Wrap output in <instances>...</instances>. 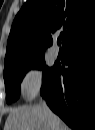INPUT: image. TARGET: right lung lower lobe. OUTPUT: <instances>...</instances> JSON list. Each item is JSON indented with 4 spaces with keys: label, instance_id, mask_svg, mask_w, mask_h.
I'll list each match as a JSON object with an SVG mask.
<instances>
[{
    "label": "right lung lower lobe",
    "instance_id": "right-lung-lower-lobe-1",
    "mask_svg": "<svg viewBox=\"0 0 95 130\" xmlns=\"http://www.w3.org/2000/svg\"><path fill=\"white\" fill-rule=\"evenodd\" d=\"M63 49L68 54L69 68L61 70L55 65L41 94L68 126L91 129L95 122V30L69 42Z\"/></svg>",
    "mask_w": 95,
    "mask_h": 130
}]
</instances>
